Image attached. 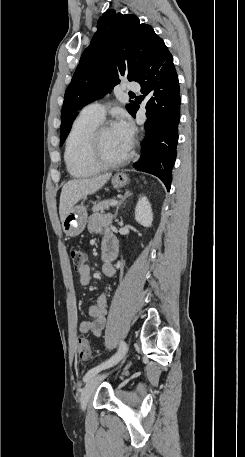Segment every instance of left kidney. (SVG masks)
I'll return each mask as SVG.
<instances>
[{
    "mask_svg": "<svg viewBox=\"0 0 245 457\" xmlns=\"http://www.w3.org/2000/svg\"><path fill=\"white\" fill-rule=\"evenodd\" d=\"M135 218L137 222H140L143 226H151L153 212L147 196H142V194H140L135 208Z\"/></svg>",
    "mask_w": 245,
    "mask_h": 457,
    "instance_id": "5707ae66",
    "label": "left kidney"
}]
</instances>
